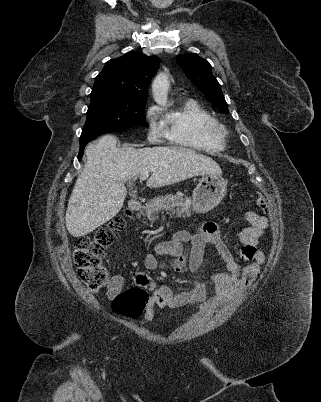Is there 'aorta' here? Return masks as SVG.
Masks as SVG:
<instances>
[{
  "label": "aorta",
  "instance_id": "762f6f07",
  "mask_svg": "<svg viewBox=\"0 0 321 402\" xmlns=\"http://www.w3.org/2000/svg\"><path fill=\"white\" fill-rule=\"evenodd\" d=\"M169 89V79L166 73L158 74L152 84V94L155 102L166 106Z\"/></svg>",
  "mask_w": 321,
  "mask_h": 402
}]
</instances>
